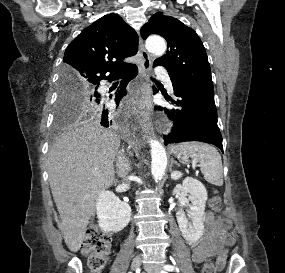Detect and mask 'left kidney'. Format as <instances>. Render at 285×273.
Returning <instances> with one entry per match:
<instances>
[{
	"label": "left kidney",
	"mask_w": 285,
	"mask_h": 273,
	"mask_svg": "<svg viewBox=\"0 0 285 273\" xmlns=\"http://www.w3.org/2000/svg\"><path fill=\"white\" fill-rule=\"evenodd\" d=\"M182 176L180 171H173L171 178L178 180ZM189 196L186 198V196ZM208 195L205 186L196 179L186 177L182 183V193L179 197V202L182 206L189 207V217L191 222L184 211L179 210L176 213L177 222L182 232V236L190 243H196L204 232V210ZM191 202V204H189Z\"/></svg>",
	"instance_id": "obj_1"
}]
</instances>
